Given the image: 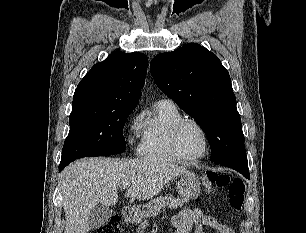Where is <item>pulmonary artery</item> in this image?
<instances>
[{
	"label": "pulmonary artery",
	"instance_id": "1",
	"mask_svg": "<svg viewBox=\"0 0 306 233\" xmlns=\"http://www.w3.org/2000/svg\"><path fill=\"white\" fill-rule=\"evenodd\" d=\"M162 100H168V99H162ZM168 101H171V100H168ZM172 102V101H171Z\"/></svg>",
	"mask_w": 306,
	"mask_h": 233
}]
</instances>
